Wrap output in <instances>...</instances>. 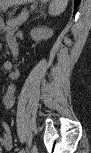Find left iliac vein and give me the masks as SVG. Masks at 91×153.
I'll use <instances>...</instances> for the list:
<instances>
[{
    "instance_id": "left-iliac-vein-1",
    "label": "left iliac vein",
    "mask_w": 91,
    "mask_h": 153,
    "mask_svg": "<svg viewBox=\"0 0 91 153\" xmlns=\"http://www.w3.org/2000/svg\"><path fill=\"white\" fill-rule=\"evenodd\" d=\"M29 153H37V147L35 144L32 145L31 150Z\"/></svg>"
}]
</instances>
